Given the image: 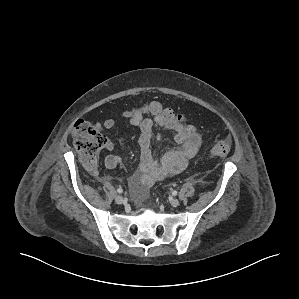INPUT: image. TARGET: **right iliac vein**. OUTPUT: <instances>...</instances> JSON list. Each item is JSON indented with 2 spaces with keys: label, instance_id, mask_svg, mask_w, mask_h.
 I'll return each mask as SVG.
<instances>
[{
  "label": "right iliac vein",
  "instance_id": "obj_1",
  "mask_svg": "<svg viewBox=\"0 0 299 299\" xmlns=\"http://www.w3.org/2000/svg\"><path fill=\"white\" fill-rule=\"evenodd\" d=\"M115 201H116L117 204H122L124 202V198L120 195H117L115 197Z\"/></svg>",
  "mask_w": 299,
  "mask_h": 299
}]
</instances>
